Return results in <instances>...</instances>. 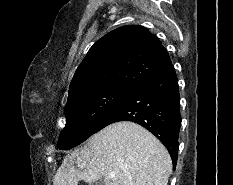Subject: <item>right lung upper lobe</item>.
Here are the masks:
<instances>
[{"instance_id":"right-lung-upper-lobe-1","label":"right lung upper lobe","mask_w":233,"mask_h":185,"mask_svg":"<svg viewBox=\"0 0 233 185\" xmlns=\"http://www.w3.org/2000/svg\"><path fill=\"white\" fill-rule=\"evenodd\" d=\"M170 64L167 50L146 28H117L90 48L70 83L68 101L108 87L131 90Z\"/></svg>"}]
</instances>
